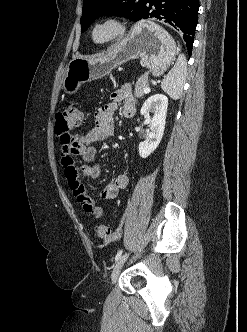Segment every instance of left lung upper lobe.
<instances>
[{"label":"left lung upper lobe","instance_id":"5c2ea615","mask_svg":"<svg viewBox=\"0 0 247 332\" xmlns=\"http://www.w3.org/2000/svg\"><path fill=\"white\" fill-rule=\"evenodd\" d=\"M147 0H84L81 17V32L102 15L124 16L138 21Z\"/></svg>","mask_w":247,"mask_h":332}]
</instances>
